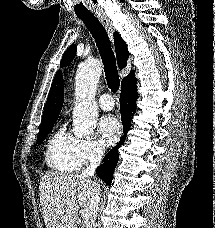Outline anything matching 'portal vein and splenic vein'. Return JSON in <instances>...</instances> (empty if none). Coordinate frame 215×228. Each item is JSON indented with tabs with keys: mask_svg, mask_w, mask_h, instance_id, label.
Returning <instances> with one entry per match:
<instances>
[{
	"mask_svg": "<svg viewBox=\"0 0 215 228\" xmlns=\"http://www.w3.org/2000/svg\"><path fill=\"white\" fill-rule=\"evenodd\" d=\"M80 214H81L83 220H85V222H87V220H89V218H90V216H89V214H90L89 210H82V212H80Z\"/></svg>",
	"mask_w": 215,
	"mask_h": 228,
	"instance_id": "portal-vein-and-splenic-vein-1",
	"label": "portal vein and splenic vein"
}]
</instances>
